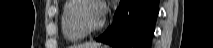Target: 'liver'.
<instances>
[{
    "label": "liver",
    "instance_id": "liver-1",
    "mask_svg": "<svg viewBox=\"0 0 213 48\" xmlns=\"http://www.w3.org/2000/svg\"><path fill=\"white\" fill-rule=\"evenodd\" d=\"M98 46L99 45L97 43H84L80 45H73L71 48H98Z\"/></svg>",
    "mask_w": 213,
    "mask_h": 48
}]
</instances>
